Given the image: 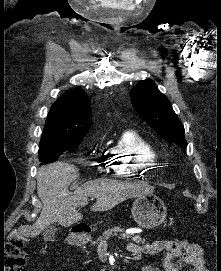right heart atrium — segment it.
Masks as SVG:
<instances>
[{
    "mask_svg": "<svg viewBox=\"0 0 221 271\" xmlns=\"http://www.w3.org/2000/svg\"><path fill=\"white\" fill-rule=\"evenodd\" d=\"M97 155H98V159H100L102 162L106 164L107 162L113 161V158H112L113 155H117V154H111V151H98ZM108 166H111V165H100L98 168L100 170H103L104 173H113V171H108Z\"/></svg>",
    "mask_w": 221,
    "mask_h": 271,
    "instance_id": "obj_1",
    "label": "right heart atrium"
}]
</instances>
